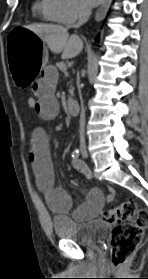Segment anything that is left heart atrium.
Masks as SVG:
<instances>
[{"label":"left heart atrium","mask_w":148,"mask_h":279,"mask_svg":"<svg viewBox=\"0 0 148 279\" xmlns=\"http://www.w3.org/2000/svg\"><path fill=\"white\" fill-rule=\"evenodd\" d=\"M102 0H82V2L86 5V6H96L98 5Z\"/></svg>","instance_id":"obj_1"}]
</instances>
